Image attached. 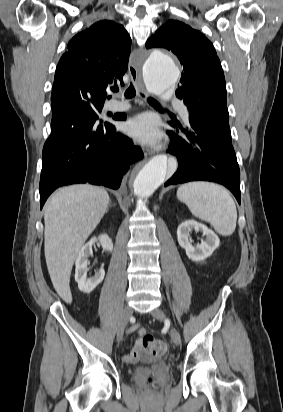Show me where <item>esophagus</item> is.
Listing matches in <instances>:
<instances>
[{
	"instance_id": "1",
	"label": "esophagus",
	"mask_w": 283,
	"mask_h": 412,
	"mask_svg": "<svg viewBox=\"0 0 283 412\" xmlns=\"http://www.w3.org/2000/svg\"><path fill=\"white\" fill-rule=\"evenodd\" d=\"M128 71L131 77L132 82L137 87V94L142 100H146L149 97L148 92L144 88L141 78V62L139 60H130ZM153 151H149V154H153Z\"/></svg>"
}]
</instances>
